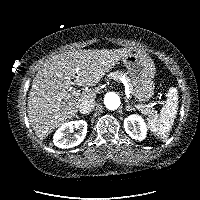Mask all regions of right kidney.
<instances>
[{
    "label": "right kidney",
    "mask_w": 200,
    "mask_h": 200,
    "mask_svg": "<svg viewBox=\"0 0 200 200\" xmlns=\"http://www.w3.org/2000/svg\"><path fill=\"white\" fill-rule=\"evenodd\" d=\"M77 132L73 133V130ZM87 122L84 120L64 123L54 134L53 143L59 148H72L79 145L86 137Z\"/></svg>",
    "instance_id": "right-kidney-1"
}]
</instances>
